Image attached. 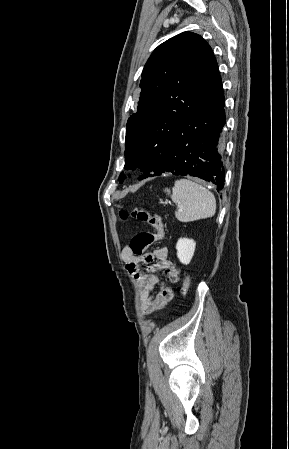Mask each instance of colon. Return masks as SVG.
I'll return each instance as SVG.
<instances>
[{"label": "colon", "instance_id": "1", "mask_svg": "<svg viewBox=\"0 0 289 449\" xmlns=\"http://www.w3.org/2000/svg\"><path fill=\"white\" fill-rule=\"evenodd\" d=\"M121 219H127L128 217H132L137 219L140 222L146 223L151 226L155 232H140L136 234L131 242L130 248L132 252L137 256H147L145 253L146 249L165 238L166 232L161 220V217L157 214H152L148 210L144 208H134L131 211L121 210L120 211ZM190 288V279L186 276L183 279L180 292L182 296H186Z\"/></svg>", "mask_w": 289, "mask_h": 449}]
</instances>
